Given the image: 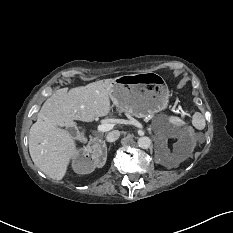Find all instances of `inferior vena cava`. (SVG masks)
Returning a JSON list of instances; mask_svg holds the SVG:
<instances>
[{
    "label": "inferior vena cava",
    "mask_w": 233,
    "mask_h": 233,
    "mask_svg": "<svg viewBox=\"0 0 233 233\" xmlns=\"http://www.w3.org/2000/svg\"><path fill=\"white\" fill-rule=\"evenodd\" d=\"M120 136V132L118 130L111 131L107 134L106 140L108 142H115Z\"/></svg>",
    "instance_id": "obj_1"
}]
</instances>
